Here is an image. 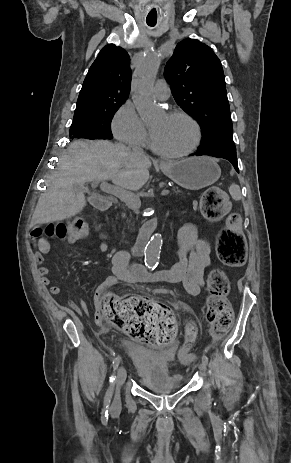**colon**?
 <instances>
[{"label": "colon", "mask_w": 291, "mask_h": 463, "mask_svg": "<svg viewBox=\"0 0 291 463\" xmlns=\"http://www.w3.org/2000/svg\"><path fill=\"white\" fill-rule=\"evenodd\" d=\"M228 195L220 188H209L201 199V210L209 220L221 218L228 210ZM89 229L82 219H74L68 224L50 223L35 230L36 234L53 239L78 240L88 235ZM217 255L228 266H242L246 259V241L241 230V217L237 213L228 216L224 228L217 240ZM210 296L208 299L207 319L212 333L216 337L224 335L230 328L234 314L226 295L228 283L225 275L214 271L208 279ZM103 318L126 334L148 344L165 346L176 333V323L171 312L156 303L142 297L121 299L116 295L101 290L97 294ZM195 335V328L190 326L188 341ZM181 359L186 361L189 355L183 353Z\"/></svg>", "instance_id": "obj_1"}]
</instances>
